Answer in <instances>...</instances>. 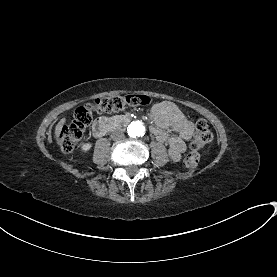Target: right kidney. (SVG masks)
<instances>
[{"instance_id": "right-kidney-1", "label": "right kidney", "mask_w": 277, "mask_h": 277, "mask_svg": "<svg viewBox=\"0 0 277 277\" xmlns=\"http://www.w3.org/2000/svg\"><path fill=\"white\" fill-rule=\"evenodd\" d=\"M91 147H92L91 143H85V144L82 145L81 150L83 152H87V151H89L91 149Z\"/></svg>"}]
</instances>
